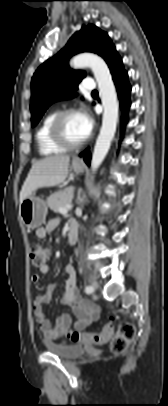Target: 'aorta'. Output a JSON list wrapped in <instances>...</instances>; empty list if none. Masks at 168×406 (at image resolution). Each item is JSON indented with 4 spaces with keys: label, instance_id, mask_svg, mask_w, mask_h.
<instances>
[{
    "label": "aorta",
    "instance_id": "1",
    "mask_svg": "<svg viewBox=\"0 0 168 406\" xmlns=\"http://www.w3.org/2000/svg\"><path fill=\"white\" fill-rule=\"evenodd\" d=\"M70 65L75 69L91 68L104 108L102 127L91 160V169L95 172L103 162L116 131L119 110L117 94L110 70L101 57L92 53H82L73 57Z\"/></svg>",
    "mask_w": 168,
    "mask_h": 406
}]
</instances>
